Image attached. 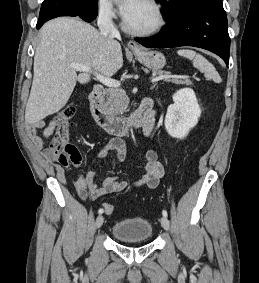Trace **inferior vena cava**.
Returning <instances> with one entry per match:
<instances>
[{
	"mask_svg": "<svg viewBox=\"0 0 259 283\" xmlns=\"http://www.w3.org/2000/svg\"><path fill=\"white\" fill-rule=\"evenodd\" d=\"M97 25L100 33L108 42L115 43V39L120 38V34L111 18L110 7H101L98 15Z\"/></svg>",
	"mask_w": 259,
	"mask_h": 283,
	"instance_id": "1",
	"label": "inferior vena cava"
}]
</instances>
